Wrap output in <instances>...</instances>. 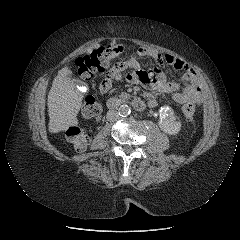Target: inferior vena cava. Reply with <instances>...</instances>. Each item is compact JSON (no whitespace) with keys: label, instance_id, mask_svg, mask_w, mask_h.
Masks as SVG:
<instances>
[{"label":"inferior vena cava","instance_id":"obj_1","mask_svg":"<svg viewBox=\"0 0 240 240\" xmlns=\"http://www.w3.org/2000/svg\"><path fill=\"white\" fill-rule=\"evenodd\" d=\"M119 119V114L116 110H110L107 112V120L110 122H115Z\"/></svg>","mask_w":240,"mask_h":240}]
</instances>
